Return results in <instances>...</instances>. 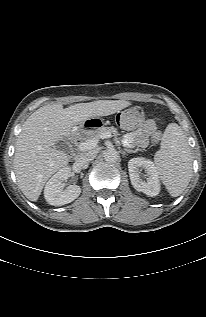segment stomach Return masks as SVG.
<instances>
[{"label":"stomach","instance_id":"obj_1","mask_svg":"<svg viewBox=\"0 0 206 317\" xmlns=\"http://www.w3.org/2000/svg\"><path fill=\"white\" fill-rule=\"evenodd\" d=\"M119 113L120 112H118L117 115ZM116 125V116L112 114L89 115L79 121L77 130L79 134L82 135V132L88 133L91 130H97L98 132V128H114Z\"/></svg>","mask_w":206,"mask_h":317}]
</instances>
